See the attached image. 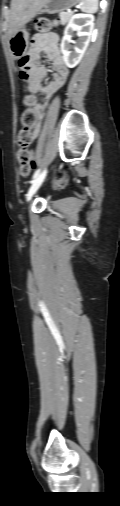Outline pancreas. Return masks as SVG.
Wrapping results in <instances>:
<instances>
[{"instance_id":"obj_1","label":"pancreas","mask_w":120,"mask_h":506,"mask_svg":"<svg viewBox=\"0 0 120 506\" xmlns=\"http://www.w3.org/2000/svg\"><path fill=\"white\" fill-rule=\"evenodd\" d=\"M61 25H65L72 17V13L62 12L59 14Z\"/></svg>"}]
</instances>
